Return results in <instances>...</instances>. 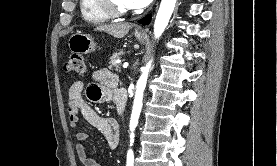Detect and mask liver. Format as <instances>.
Masks as SVG:
<instances>
[{"label":"liver","mask_w":277,"mask_h":166,"mask_svg":"<svg viewBox=\"0 0 277 166\" xmlns=\"http://www.w3.org/2000/svg\"><path fill=\"white\" fill-rule=\"evenodd\" d=\"M131 25L129 23L105 24L95 28V31L105 32L115 38H123L128 34Z\"/></svg>","instance_id":"1"}]
</instances>
